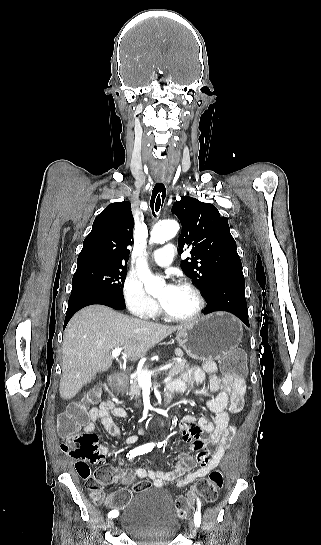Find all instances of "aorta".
<instances>
[{"instance_id":"obj_1","label":"aorta","mask_w":321,"mask_h":545,"mask_svg":"<svg viewBox=\"0 0 321 545\" xmlns=\"http://www.w3.org/2000/svg\"><path fill=\"white\" fill-rule=\"evenodd\" d=\"M179 230V224L175 220H167L161 223L156 224L152 231L150 241L152 243L163 244L166 241L172 239ZM138 274L143 280L145 285V290L150 294H157L160 290V287L164 282L158 278L154 277L147 265L140 260L138 264Z\"/></svg>"}]
</instances>
